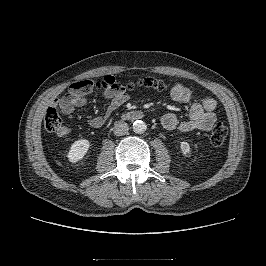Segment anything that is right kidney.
<instances>
[{"instance_id":"right-kidney-1","label":"right kidney","mask_w":266,"mask_h":266,"mask_svg":"<svg viewBox=\"0 0 266 266\" xmlns=\"http://www.w3.org/2000/svg\"><path fill=\"white\" fill-rule=\"evenodd\" d=\"M90 147V143L86 139H79L75 141L67 154L68 160L71 163H76L80 161L85 154L87 153L88 149Z\"/></svg>"}]
</instances>
